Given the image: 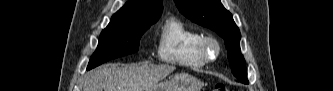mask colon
<instances>
[{"instance_id": "1", "label": "colon", "mask_w": 333, "mask_h": 91, "mask_svg": "<svg viewBox=\"0 0 333 91\" xmlns=\"http://www.w3.org/2000/svg\"><path fill=\"white\" fill-rule=\"evenodd\" d=\"M214 91H227V88L224 84L222 83H216L214 88H213Z\"/></svg>"}]
</instances>
